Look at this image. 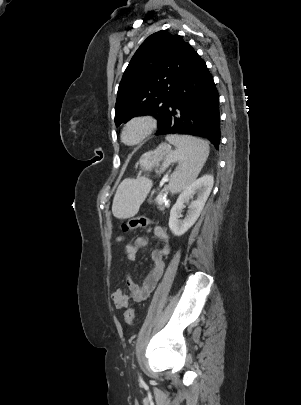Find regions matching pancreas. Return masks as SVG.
Returning <instances> with one entry per match:
<instances>
[{"instance_id":"pancreas-1","label":"pancreas","mask_w":301,"mask_h":405,"mask_svg":"<svg viewBox=\"0 0 301 405\" xmlns=\"http://www.w3.org/2000/svg\"><path fill=\"white\" fill-rule=\"evenodd\" d=\"M158 204H159V207H158V208H159L160 210H164V206L162 205V203L158 202Z\"/></svg>"}]
</instances>
